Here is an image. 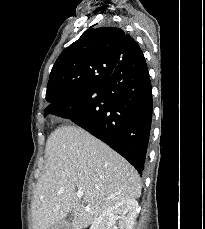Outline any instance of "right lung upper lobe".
I'll return each mask as SVG.
<instances>
[{
    "label": "right lung upper lobe",
    "mask_w": 205,
    "mask_h": 229,
    "mask_svg": "<svg viewBox=\"0 0 205 229\" xmlns=\"http://www.w3.org/2000/svg\"><path fill=\"white\" fill-rule=\"evenodd\" d=\"M141 49L116 27L91 26L57 58L50 73L46 100L54 103L93 85L97 76H110L123 59H134Z\"/></svg>",
    "instance_id": "obj_1"
}]
</instances>
